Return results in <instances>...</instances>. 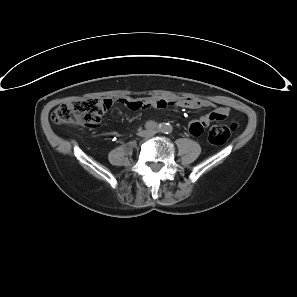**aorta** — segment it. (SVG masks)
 <instances>
[{"label":"aorta","instance_id":"obj_1","mask_svg":"<svg viewBox=\"0 0 297 297\" xmlns=\"http://www.w3.org/2000/svg\"><path fill=\"white\" fill-rule=\"evenodd\" d=\"M171 126L170 125H165L164 128L162 129L163 132H170L171 131Z\"/></svg>","mask_w":297,"mask_h":297}]
</instances>
